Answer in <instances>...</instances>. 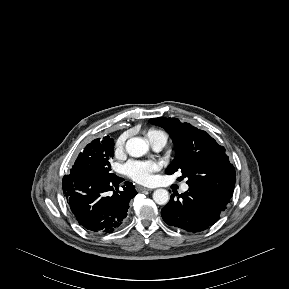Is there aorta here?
Here are the masks:
<instances>
[{"mask_svg":"<svg viewBox=\"0 0 289 289\" xmlns=\"http://www.w3.org/2000/svg\"><path fill=\"white\" fill-rule=\"evenodd\" d=\"M149 150L148 143L141 138H131L126 142V151L132 157H141ZM153 200L159 205H165L169 201V193L165 189H157L153 193Z\"/></svg>","mask_w":289,"mask_h":289,"instance_id":"762f6f07","label":"aorta"}]
</instances>
